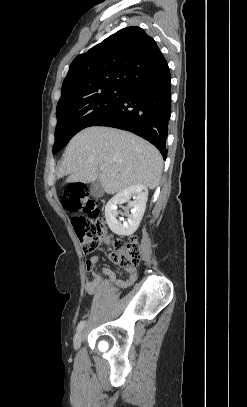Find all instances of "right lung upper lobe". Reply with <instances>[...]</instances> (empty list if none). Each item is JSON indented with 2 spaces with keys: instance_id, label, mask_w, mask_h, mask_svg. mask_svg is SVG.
Returning <instances> with one entry per match:
<instances>
[{
  "instance_id": "cb5924a9",
  "label": "right lung upper lobe",
  "mask_w": 247,
  "mask_h": 407,
  "mask_svg": "<svg viewBox=\"0 0 247 407\" xmlns=\"http://www.w3.org/2000/svg\"><path fill=\"white\" fill-rule=\"evenodd\" d=\"M166 62L155 40L143 29H121L73 60L57 107L106 88L127 87Z\"/></svg>"
}]
</instances>
